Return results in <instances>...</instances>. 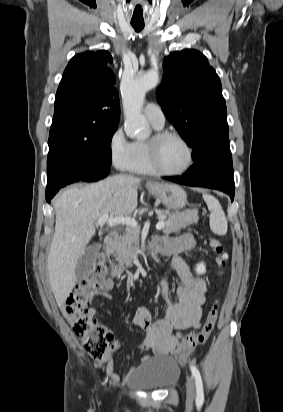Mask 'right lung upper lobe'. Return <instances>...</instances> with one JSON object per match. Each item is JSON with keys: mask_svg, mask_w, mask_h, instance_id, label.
<instances>
[{"mask_svg": "<svg viewBox=\"0 0 283 412\" xmlns=\"http://www.w3.org/2000/svg\"><path fill=\"white\" fill-rule=\"evenodd\" d=\"M112 61L105 50L75 55L59 84L53 118L74 114L103 129L117 128L120 104L115 76L108 67Z\"/></svg>", "mask_w": 283, "mask_h": 412, "instance_id": "1", "label": "right lung upper lobe"}]
</instances>
